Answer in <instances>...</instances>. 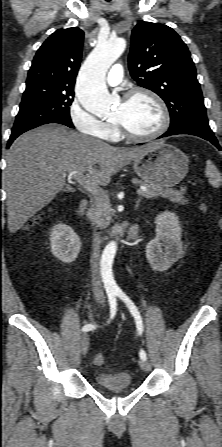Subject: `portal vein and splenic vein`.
<instances>
[{"instance_id":"obj_1","label":"portal vein and splenic vein","mask_w":222,"mask_h":447,"mask_svg":"<svg viewBox=\"0 0 222 447\" xmlns=\"http://www.w3.org/2000/svg\"><path fill=\"white\" fill-rule=\"evenodd\" d=\"M77 174V172H71L70 174H69V178H72V177H74L75 175ZM77 182L82 186V187H84L86 190H88L89 192H91L92 194H95V195H99V194H101V195H104L106 198H108V196L105 194V192L104 191H102V190H100V189H98V187L96 186V184L95 183H92V182H90V181H88V180H85V179H77ZM147 191V188L146 187H144V186H141L140 187V189H138L137 190V193H142V192H146Z\"/></svg>"}]
</instances>
